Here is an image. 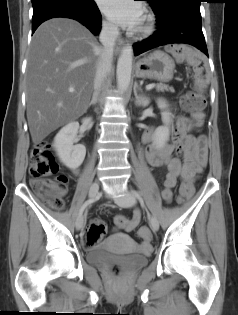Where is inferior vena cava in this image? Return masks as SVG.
Segmentation results:
<instances>
[{"mask_svg":"<svg viewBox=\"0 0 238 315\" xmlns=\"http://www.w3.org/2000/svg\"><path fill=\"white\" fill-rule=\"evenodd\" d=\"M118 34L119 30L116 25L111 23L102 24L99 40L103 47L101 48L96 67L93 99L98 96L101 86L111 70L113 51Z\"/></svg>","mask_w":238,"mask_h":315,"instance_id":"602c4592","label":"inferior vena cava"}]
</instances>
